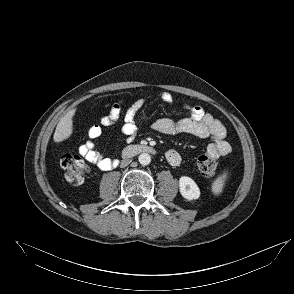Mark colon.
Instances as JSON below:
<instances>
[{
  "instance_id": "obj_1",
  "label": "colon",
  "mask_w": 294,
  "mask_h": 294,
  "mask_svg": "<svg viewBox=\"0 0 294 294\" xmlns=\"http://www.w3.org/2000/svg\"><path fill=\"white\" fill-rule=\"evenodd\" d=\"M60 165L65 170V178L71 184H79L88 172L85 161L76 154L65 153L60 158ZM217 159L203 154L198 158L199 172L206 177L213 176L217 170Z\"/></svg>"
}]
</instances>
